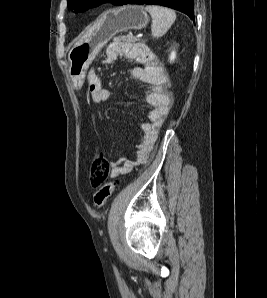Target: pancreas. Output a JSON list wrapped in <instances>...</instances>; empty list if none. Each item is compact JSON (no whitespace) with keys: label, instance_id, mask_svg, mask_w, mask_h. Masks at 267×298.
<instances>
[{"label":"pancreas","instance_id":"pancreas-1","mask_svg":"<svg viewBox=\"0 0 267 298\" xmlns=\"http://www.w3.org/2000/svg\"><path fill=\"white\" fill-rule=\"evenodd\" d=\"M123 40L127 41V42H136L138 39L132 35H127V36H123L121 37Z\"/></svg>","mask_w":267,"mask_h":298}]
</instances>
